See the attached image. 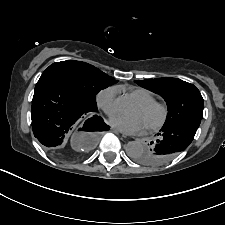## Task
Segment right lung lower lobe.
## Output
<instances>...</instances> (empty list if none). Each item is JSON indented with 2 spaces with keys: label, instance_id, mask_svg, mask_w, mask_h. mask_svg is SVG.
<instances>
[{
  "label": "right lung lower lobe",
  "instance_id": "1",
  "mask_svg": "<svg viewBox=\"0 0 225 225\" xmlns=\"http://www.w3.org/2000/svg\"><path fill=\"white\" fill-rule=\"evenodd\" d=\"M95 112L65 86L52 79H39L32 100L31 120L34 136L48 149L58 148L82 115ZM92 131L108 130L94 115ZM88 119V120H90Z\"/></svg>",
  "mask_w": 225,
  "mask_h": 225
}]
</instances>
